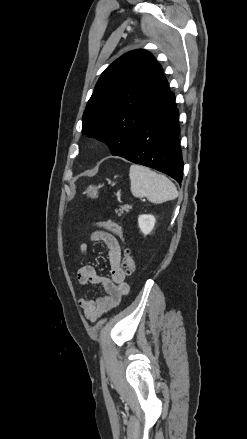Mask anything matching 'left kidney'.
<instances>
[{"mask_svg": "<svg viewBox=\"0 0 247 439\" xmlns=\"http://www.w3.org/2000/svg\"><path fill=\"white\" fill-rule=\"evenodd\" d=\"M156 219L151 214H143L138 217V225L142 233L146 236L151 233L154 228Z\"/></svg>", "mask_w": 247, "mask_h": 439, "instance_id": "1", "label": "left kidney"}]
</instances>
